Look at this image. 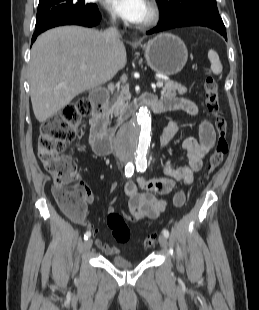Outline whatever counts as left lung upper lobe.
Returning <instances> with one entry per match:
<instances>
[{"label": "left lung upper lobe", "mask_w": 259, "mask_h": 310, "mask_svg": "<svg viewBox=\"0 0 259 310\" xmlns=\"http://www.w3.org/2000/svg\"><path fill=\"white\" fill-rule=\"evenodd\" d=\"M162 11L159 24L173 22L189 15L219 16L215 0H157Z\"/></svg>", "instance_id": "obj_1"}]
</instances>
